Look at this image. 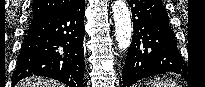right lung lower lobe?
<instances>
[{
	"label": "right lung lower lobe",
	"instance_id": "98d812e1",
	"mask_svg": "<svg viewBox=\"0 0 205 87\" xmlns=\"http://www.w3.org/2000/svg\"><path fill=\"white\" fill-rule=\"evenodd\" d=\"M84 0L33 18L21 45L12 86L25 77L45 76L69 87H83Z\"/></svg>",
	"mask_w": 205,
	"mask_h": 87
}]
</instances>
